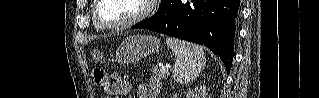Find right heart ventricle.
Here are the masks:
<instances>
[{
	"instance_id": "right-heart-ventricle-1",
	"label": "right heart ventricle",
	"mask_w": 319,
	"mask_h": 98,
	"mask_svg": "<svg viewBox=\"0 0 319 98\" xmlns=\"http://www.w3.org/2000/svg\"><path fill=\"white\" fill-rule=\"evenodd\" d=\"M95 27H96L97 29H100V27H99V26H97L96 24H95Z\"/></svg>"
}]
</instances>
